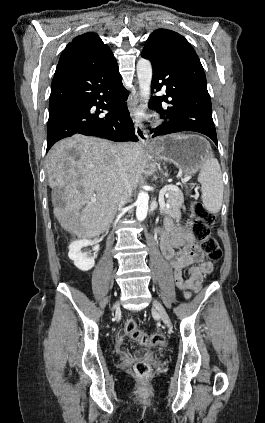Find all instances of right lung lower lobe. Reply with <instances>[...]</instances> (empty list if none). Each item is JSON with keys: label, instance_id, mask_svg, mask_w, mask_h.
<instances>
[{"label": "right lung lower lobe", "instance_id": "obj_1", "mask_svg": "<svg viewBox=\"0 0 265 423\" xmlns=\"http://www.w3.org/2000/svg\"><path fill=\"white\" fill-rule=\"evenodd\" d=\"M117 63L108 68H84L54 76L49 100L47 150L74 134L116 142L138 141L125 100ZM110 113L101 116L100 110Z\"/></svg>", "mask_w": 265, "mask_h": 423}]
</instances>
